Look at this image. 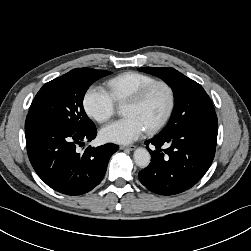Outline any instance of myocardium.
Wrapping results in <instances>:
<instances>
[{
    "label": "myocardium",
    "mask_w": 251,
    "mask_h": 251,
    "mask_svg": "<svg viewBox=\"0 0 251 251\" xmlns=\"http://www.w3.org/2000/svg\"><path fill=\"white\" fill-rule=\"evenodd\" d=\"M159 86L164 87L167 90L168 95H169V105L162 119L157 124L147 129V132L150 134H154L160 131L162 128L166 126V124L171 119L174 109H175V105H176V95H175L174 88L166 81L156 80L144 86L143 88H141L126 102L130 104H141L147 98V96L151 93V91L154 88L159 87Z\"/></svg>",
    "instance_id": "myocardium-1"
}]
</instances>
